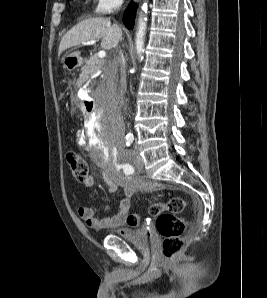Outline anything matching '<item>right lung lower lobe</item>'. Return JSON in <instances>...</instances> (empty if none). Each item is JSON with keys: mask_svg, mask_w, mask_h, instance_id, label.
I'll return each mask as SVG.
<instances>
[{"mask_svg": "<svg viewBox=\"0 0 267 298\" xmlns=\"http://www.w3.org/2000/svg\"><path fill=\"white\" fill-rule=\"evenodd\" d=\"M136 15V5L131 3L129 7L125 10L124 14V24L128 29H132L134 27V19Z\"/></svg>", "mask_w": 267, "mask_h": 298, "instance_id": "1", "label": "right lung lower lobe"}]
</instances>
